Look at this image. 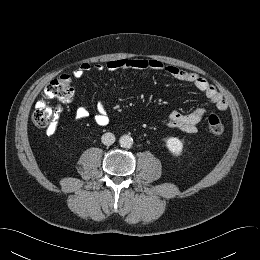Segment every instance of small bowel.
<instances>
[{
    "label": "small bowel",
    "mask_w": 260,
    "mask_h": 260,
    "mask_svg": "<svg viewBox=\"0 0 260 260\" xmlns=\"http://www.w3.org/2000/svg\"><path fill=\"white\" fill-rule=\"evenodd\" d=\"M96 70L102 71L104 69L109 71L117 70H139V71H158L165 72L173 78L192 84L197 90L201 91L206 97L217 107L218 110L224 111L228 105L224 97L217 91V89L203 77L183 70L176 66H166L162 62L151 58H124L114 59L108 61L105 65L97 64ZM91 69V65L87 62L80 64L74 71L73 76L77 79L81 78L85 73ZM88 109L84 106L77 108L75 112V119L77 121L84 120L88 117ZM205 110L197 108L189 113L172 112L167 120V125L172 128H177L186 133H196L197 125L203 119ZM95 122L99 126H106L109 123V116L103 105H99L98 113L95 115Z\"/></svg>",
    "instance_id": "c3829d8e"
}]
</instances>
